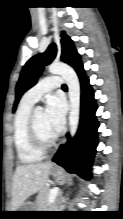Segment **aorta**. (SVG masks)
I'll return each instance as SVG.
<instances>
[{"mask_svg": "<svg viewBox=\"0 0 123 219\" xmlns=\"http://www.w3.org/2000/svg\"><path fill=\"white\" fill-rule=\"evenodd\" d=\"M48 70L51 74L60 75L68 86L70 113L69 127L72 137L76 134L79 116H80V84L79 79L72 67L65 63L53 62L49 65ZM42 107L38 106L36 111H41Z\"/></svg>", "mask_w": 123, "mask_h": 219, "instance_id": "aorta-1", "label": "aorta"}]
</instances>
